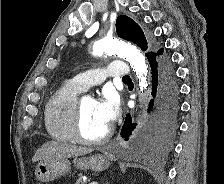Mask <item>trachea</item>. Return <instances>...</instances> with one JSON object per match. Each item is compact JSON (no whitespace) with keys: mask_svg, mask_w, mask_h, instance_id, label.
Here are the masks:
<instances>
[{"mask_svg":"<svg viewBox=\"0 0 224 184\" xmlns=\"http://www.w3.org/2000/svg\"><path fill=\"white\" fill-rule=\"evenodd\" d=\"M123 81H128L131 80V78L129 76L122 78Z\"/></svg>","mask_w":224,"mask_h":184,"instance_id":"3493384b","label":"trachea"}]
</instances>
